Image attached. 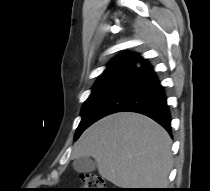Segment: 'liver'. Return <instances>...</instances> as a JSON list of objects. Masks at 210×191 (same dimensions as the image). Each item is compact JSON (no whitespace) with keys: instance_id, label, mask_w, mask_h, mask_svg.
Here are the masks:
<instances>
[{"instance_id":"1","label":"liver","mask_w":210,"mask_h":191,"mask_svg":"<svg viewBox=\"0 0 210 191\" xmlns=\"http://www.w3.org/2000/svg\"><path fill=\"white\" fill-rule=\"evenodd\" d=\"M171 144L166 130L152 119L120 112L85 130L72 158L92 156L99 174L120 188H164L173 164Z\"/></svg>"}]
</instances>
